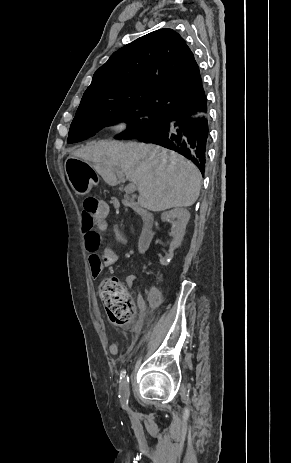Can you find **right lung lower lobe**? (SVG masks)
Returning a JSON list of instances; mask_svg holds the SVG:
<instances>
[{"label":"right lung lower lobe","mask_w":291,"mask_h":463,"mask_svg":"<svg viewBox=\"0 0 291 463\" xmlns=\"http://www.w3.org/2000/svg\"><path fill=\"white\" fill-rule=\"evenodd\" d=\"M206 96L201 105L190 112L171 111L165 114L162 123L138 136L141 142L161 145L174 150L191 160L201 171H205L209 141V120Z\"/></svg>","instance_id":"obj_1"}]
</instances>
